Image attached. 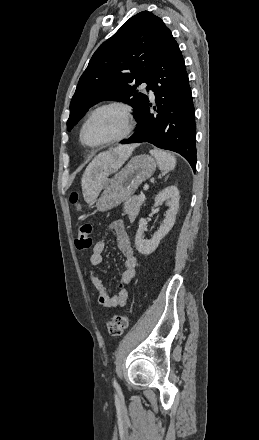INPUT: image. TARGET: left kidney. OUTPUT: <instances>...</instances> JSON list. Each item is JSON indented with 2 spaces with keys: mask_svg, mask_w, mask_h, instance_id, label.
Segmentation results:
<instances>
[{
  "mask_svg": "<svg viewBox=\"0 0 259 440\" xmlns=\"http://www.w3.org/2000/svg\"><path fill=\"white\" fill-rule=\"evenodd\" d=\"M164 201L169 206V209L166 211L163 224L152 236L151 240L143 239L144 229L147 224L146 219L141 218L139 221V227L135 236V247L143 255H149L154 252L161 239L168 234L175 223L176 214L179 209V190L176 186H169L160 191L155 197L154 207L162 205Z\"/></svg>",
  "mask_w": 259,
  "mask_h": 440,
  "instance_id": "1",
  "label": "left kidney"
}]
</instances>
